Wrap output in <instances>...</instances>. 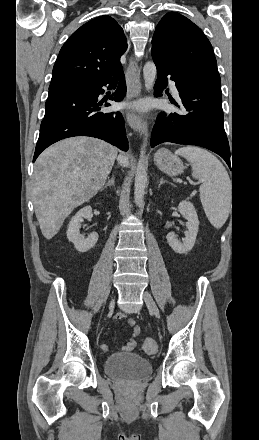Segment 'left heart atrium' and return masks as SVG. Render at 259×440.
Listing matches in <instances>:
<instances>
[{"label": "left heart atrium", "mask_w": 259, "mask_h": 440, "mask_svg": "<svg viewBox=\"0 0 259 440\" xmlns=\"http://www.w3.org/2000/svg\"><path fill=\"white\" fill-rule=\"evenodd\" d=\"M129 107H132L138 111H142L146 108V104L143 101H137L133 103L132 105H129Z\"/></svg>", "instance_id": "obj_1"}]
</instances>
